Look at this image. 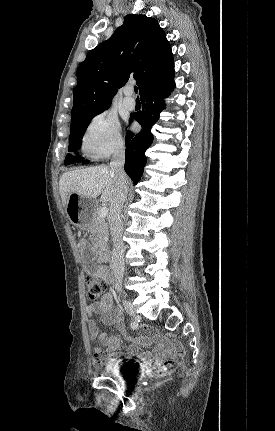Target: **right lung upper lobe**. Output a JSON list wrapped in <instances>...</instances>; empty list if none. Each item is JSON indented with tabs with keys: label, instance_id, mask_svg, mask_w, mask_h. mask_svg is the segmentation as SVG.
Returning a JSON list of instances; mask_svg holds the SVG:
<instances>
[{
	"label": "right lung upper lobe",
	"instance_id": "obj_1",
	"mask_svg": "<svg viewBox=\"0 0 275 431\" xmlns=\"http://www.w3.org/2000/svg\"><path fill=\"white\" fill-rule=\"evenodd\" d=\"M173 68V54L159 23L145 15H127L123 25L79 65L71 123L108 109L117 88L128 80H136L141 96Z\"/></svg>",
	"mask_w": 275,
	"mask_h": 431
}]
</instances>
